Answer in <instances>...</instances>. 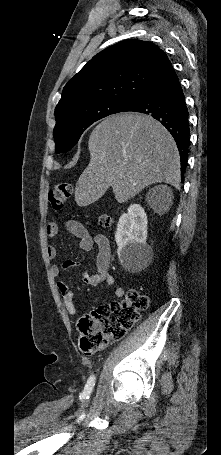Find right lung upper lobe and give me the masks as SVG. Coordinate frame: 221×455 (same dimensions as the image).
<instances>
[{"instance_id": "1", "label": "right lung upper lobe", "mask_w": 221, "mask_h": 455, "mask_svg": "<svg viewBox=\"0 0 221 455\" xmlns=\"http://www.w3.org/2000/svg\"><path fill=\"white\" fill-rule=\"evenodd\" d=\"M167 60L156 45L137 39L106 48L65 85L56 119L103 101L132 103Z\"/></svg>"}]
</instances>
